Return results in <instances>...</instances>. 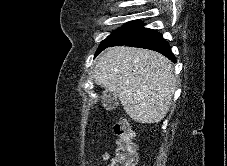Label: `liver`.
I'll list each match as a JSON object with an SVG mask.
<instances>
[{
    "mask_svg": "<svg viewBox=\"0 0 227 166\" xmlns=\"http://www.w3.org/2000/svg\"><path fill=\"white\" fill-rule=\"evenodd\" d=\"M93 78L119 98L127 115L138 123L164 119L176 90L172 63L147 49H108L98 59Z\"/></svg>",
    "mask_w": 227,
    "mask_h": 166,
    "instance_id": "6515ba94",
    "label": "liver"
}]
</instances>
